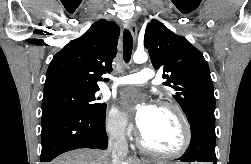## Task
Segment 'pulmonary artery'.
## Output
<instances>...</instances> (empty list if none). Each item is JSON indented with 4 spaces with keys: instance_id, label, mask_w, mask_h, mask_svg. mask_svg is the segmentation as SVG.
Wrapping results in <instances>:
<instances>
[{
    "instance_id": "e3ab8cb5",
    "label": "pulmonary artery",
    "mask_w": 251,
    "mask_h": 164,
    "mask_svg": "<svg viewBox=\"0 0 251 164\" xmlns=\"http://www.w3.org/2000/svg\"><path fill=\"white\" fill-rule=\"evenodd\" d=\"M153 78H154V71L150 68H144L137 73L120 77L116 81V85L144 84L152 81Z\"/></svg>"
}]
</instances>
